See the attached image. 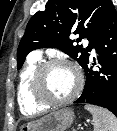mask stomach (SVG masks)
<instances>
[{
  "label": "stomach",
  "mask_w": 117,
  "mask_h": 131,
  "mask_svg": "<svg viewBox=\"0 0 117 131\" xmlns=\"http://www.w3.org/2000/svg\"><path fill=\"white\" fill-rule=\"evenodd\" d=\"M73 120V111L70 108H63L39 120L22 124L20 131H65L73 123Z\"/></svg>",
  "instance_id": "0dacf381"
}]
</instances>
